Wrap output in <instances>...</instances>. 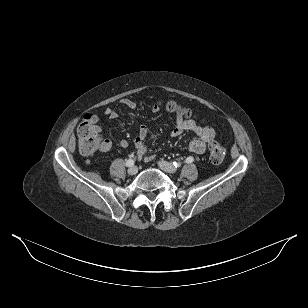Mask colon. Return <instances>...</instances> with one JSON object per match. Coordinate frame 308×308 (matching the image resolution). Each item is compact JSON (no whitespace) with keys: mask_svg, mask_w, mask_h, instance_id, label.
Listing matches in <instances>:
<instances>
[{"mask_svg":"<svg viewBox=\"0 0 308 308\" xmlns=\"http://www.w3.org/2000/svg\"><path fill=\"white\" fill-rule=\"evenodd\" d=\"M167 110L180 114L184 117H189L191 113L180 107L174 102H169L166 105ZM79 148L84 154L94 153L101 141V126L94 118V115H86L77 129ZM209 160L212 164H220L226 154L225 147L216 141H212L208 145Z\"/></svg>","mask_w":308,"mask_h":308,"instance_id":"5ec220e1","label":"colon"}]
</instances>
